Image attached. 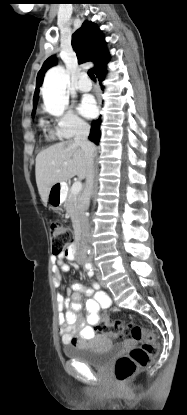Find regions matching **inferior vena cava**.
Instances as JSON below:
<instances>
[{
	"instance_id": "1",
	"label": "inferior vena cava",
	"mask_w": 187,
	"mask_h": 415,
	"mask_svg": "<svg viewBox=\"0 0 187 415\" xmlns=\"http://www.w3.org/2000/svg\"><path fill=\"white\" fill-rule=\"evenodd\" d=\"M90 133V126L85 122H80L77 127L76 135L74 138L75 144L79 145L87 158V172H86V183L83 193L79 199L78 205V219L81 226V247L77 251L76 256H86L90 250V224L87 216V210L90 204V197L92 194L93 183H94V151L95 146L88 140Z\"/></svg>"
}]
</instances>
